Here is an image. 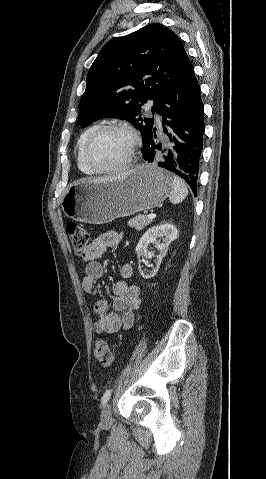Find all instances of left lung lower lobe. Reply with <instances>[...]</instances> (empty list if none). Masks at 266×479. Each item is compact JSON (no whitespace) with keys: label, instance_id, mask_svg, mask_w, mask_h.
Masks as SVG:
<instances>
[{"label":"left lung lower lobe","instance_id":"1","mask_svg":"<svg viewBox=\"0 0 266 479\" xmlns=\"http://www.w3.org/2000/svg\"><path fill=\"white\" fill-rule=\"evenodd\" d=\"M157 114L162 117L163 128L152 129L141 150L142 157L183 178L196 196L205 126L192 65L162 99Z\"/></svg>","mask_w":266,"mask_h":479}]
</instances>
